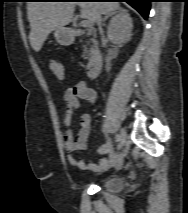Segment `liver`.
Listing matches in <instances>:
<instances>
[{
  "mask_svg": "<svg viewBox=\"0 0 188 213\" xmlns=\"http://www.w3.org/2000/svg\"><path fill=\"white\" fill-rule=\"evenodd\" d=\"M81 17L91 25L98 14H108L120 10L118 2H28L27 17L30 23L29 40L35 52H39L48 35L58 28L68 25L73 18L76 5Z\"/></svg>",
  "mask_w": 188,
  "mask_h": 213,
  "instance_id": "6515ba94",
  "label": "liver"
}]
</instances>
